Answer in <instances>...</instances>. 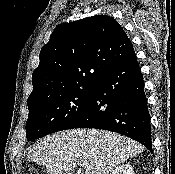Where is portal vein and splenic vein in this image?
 <instances>
[{"mask_svg": "<svg viewBox=\"0 0 175 174\" xmlns=\"http://www.w3.org/2000/svg\"><path fill=\"white\" fill-rule=\"evenodd\" d=\"M82 167L84 168V169H89V167H88V165L86 164V163H84V164H82Z\"/></svg>", "mask_w": 175, "mask_h": 174, "instance_id": "portal-vein-and-splenic-vein-1", "label": "portal vein and splenic vein"}]
</instances>
